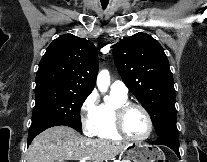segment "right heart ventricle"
<instances>
[{"label":"right heart ventricle","instance_id":"e07e8e85","mask_svg":"<svg viewBox=\"0 0 207 162\" xmlns=\"http://www.w3.org/2000/svg\"><path fill=\"white\" fill-rule=\"evenodd\" d=\"M128 102L127 96H120L111 92V100L98 105L95 134L104 140H121L114 128V109Z\"/></svg>","mask_w":207,"mask_h":162}]
</instances>
